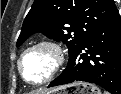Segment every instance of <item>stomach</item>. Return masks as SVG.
<instances>
[{"instance_id": "obj_1", "label": "stomach", "mask_w": 121, "mask_h": 94, "mask_svg": "<svg viewBox=\"0 0 121 94\" xmlns=\"http://www.w3.org/2000/svg\"><path fill=\"white\" fill-rule=\"evenodd\" d=\"M46 94H101L99 88L88 83H73L59 87Z\"/></svg>"}]
</instances>
